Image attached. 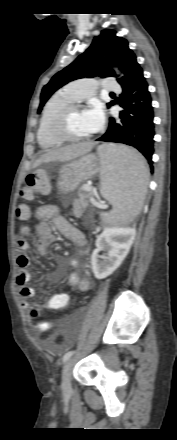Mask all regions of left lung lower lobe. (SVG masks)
<instances>
[{
	"label": "left lung lower lobe",
	"mask_w": 177,
	"mask_h": 440,
	"mask_svg": "<svg viewBox=\"0 0 177 440\" xmlns=\"http://www.w3.org/2000/svg\"><path fill=\"white\" fill-rule=\"evenodd\" d=\"M123 87L120 104V120L110 118L106 133L97 141L117 142L130 145L141 152L153 170L154 114L151 96L143 71L138 68L131 80Z\"/></svg>",
	"instance_id": "left-lung-lower-lobe-1"
}]
</instances>
